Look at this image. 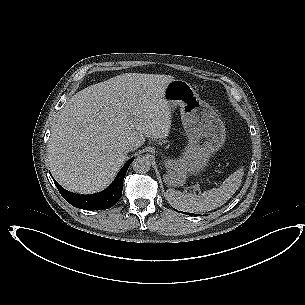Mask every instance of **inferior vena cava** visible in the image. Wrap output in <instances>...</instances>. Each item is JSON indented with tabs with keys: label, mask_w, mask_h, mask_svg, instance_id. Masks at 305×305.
Returning <instances> with one entry per match:
<instances>
[{
	"label": "inferior vena cava",
	"mask_w": 305,
	"mask_h": 305,
	"mask_svg": "<svg viewBox=\"0 0 305 305\" xmlns=\"http://www.w3.org/2000/svg\"><path fill=\"white\" fill-rule=\"evenodd\" d=\"M136 150V147L134 145H130V144H127L124 146V151L126 153L130 152V151H134Z\"/></svg>",
	"instance_id": "inferior-vena-cava-1"
}]
</instances>
